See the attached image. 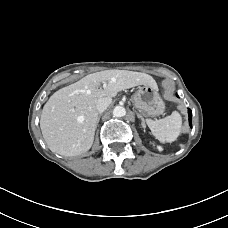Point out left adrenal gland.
Wrapping results in <instances>:
<instances>
[{
	"instance_id": "obj_1",
	"label": "left adrenal gland",
	"mask_w": 228,
	"mask_h": 228,
	"mask_svg": "<svg viewBox=\"0 0 228 228\" xmlns=\"http://www.w3.org/2000/svg\"><path fill=\"white\" fill-rule=\"evenodd\" d=\"M139 118L141 119V121H142V127L143 128H145L146 127V125H145V120H144V118L142 117V116H139Z\"/></svg>"
}]
</instances>
